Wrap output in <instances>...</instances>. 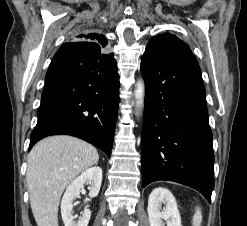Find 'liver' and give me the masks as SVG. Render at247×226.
Wrapping results in <instances>:
<instances>
[{"label":"liver","instance_id":"liver-1","mask_svg":"<svg viewBox=\"0 0 247 226\" xmlns=\"http://www.w3.org/2000/svg\"><path fill=\"white\" fill-rule=\"evenodd\" d=\"M98 160L92 145L66 135L47 137L32 148L26 178L37 226H59L58 207L63 191Z\"/></svg>","mask_w":247,"mask_h":226}]
</instances>
